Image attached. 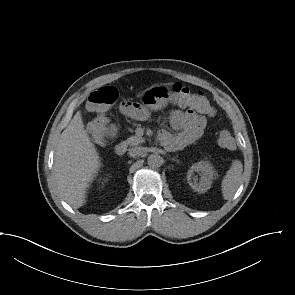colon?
I'll return each instance as SVG.
<instances>
[{"label":"colon","mask_w":295,"mask_h":295,"mask_svg":"<svg viewBox=\"0 0 295 295\" xmlns=\"http://www.w3.org/2000/svg\"><path fill=\"white\" fill-rule=\"evenodd\" d=\"M173 96L175 102L186 107L195 109L198 113L212 116L214 108L208 99L201 92H193L188 87L180 83L173 85ZM118 98L116 88L107 86L98 89L90 94L86 108L96 114V118L90 125V134L93 141L97 144H104L108 133V113L111 106ZM218 144L225 149L233 150L236 142L231 132L222 130L218 135Z\"/></svg>","instance_id":"1"}]
</instances>
